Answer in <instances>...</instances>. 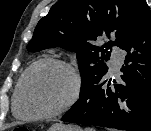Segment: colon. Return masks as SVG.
Returning <instances> with one entry per match:
<instances>
[{"label":"colon","instance_id":"5ec220e1","mask_svg":"<svg viewBox=\"0 0 151 131\" xmlns=\"http://www.w3.org/2000/svg\"><path fill=\"white\" fill-rule=\"evenodd\" d=\"M13 131H33V130L26 126H17L16 128H14Z\"/></svg>","mask_w":151,"mask_h":131}]
</instances>
